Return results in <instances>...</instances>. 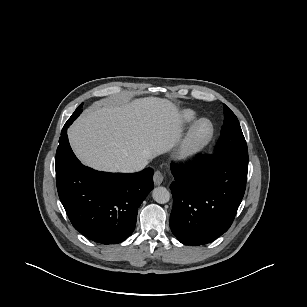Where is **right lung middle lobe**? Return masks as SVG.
I'll return each mask as SVG.
<instances>
[{
    "label": "right lung middle lobe",
    "mask_w": 307,
    "mask_h": 307,
    "mask_svg": "<svg viewBox=\"0 0 307 307\" xmlns=\"http://www.w3.org/2000/svg\"><path fill=\"white\" fill-rule=\"evenodd\" d=\"M83 103L75 110L70 119L66 122L67 125H70L80 114Z\"/></svg>",
    "instance_id": "1"
}]
</instances>
